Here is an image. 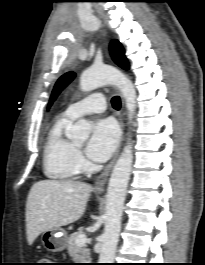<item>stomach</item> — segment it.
<instances>
[{
  "label": "stomach",
  "instance_id": "0dacf381",
  "mask_svg": "<svg viewBox=\"0 0 205 265\" xmlns=\"http://www.w3.org/2000/svg\"><path fill=\"white\" fill-rule=\"evenodd\" d=\"M42 243L51 252L63 251L67 246V233L63 229H51L43 232Z\"/></svg>",
  "mask_w": 205,
  "mask_h": 265
}]
</instances>
